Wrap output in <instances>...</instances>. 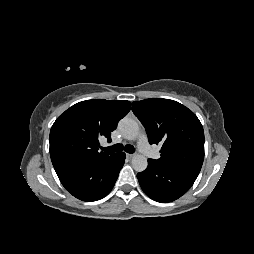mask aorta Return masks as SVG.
I'll list each match as a JSON object with an SVG mask.
<instances>
[{
    "label": "aorta",
    "instance_id": "aorta-1",
    "mask_svg": "<svg viewBox=\"0 0 254 254\" xmlns=\"http://www.w3.org/2000/svg\"><path fill=\"white\" fill-rule=\"evenodd\" d=\"M118 128L127 140H135L139 135L138 123L131 118L124 117L120 120ZM132 167L137 172H142L147 168V158L141 154H135L131 161Z\"/></svg>",
    "mask_w": 254,
    "mask_h": 254
}]
</instances>
